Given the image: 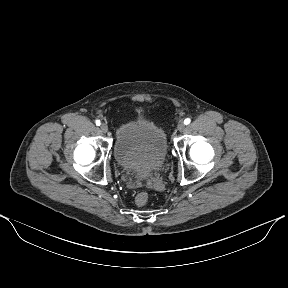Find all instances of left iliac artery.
Masks as SVG:
<instances>
[{"label":"left iliac artery","mask_w":288,"mask_h":288,"mask_svg":"<svg viewBox=\"0 0 288 288\" xmlns=\"http://www.w3.org/2000/svg\"><path fill=\"white\" fill-rule=\"evenodd\" d=\"M190 122H191V119H190V118H186V119L184 120V124H185V125L190 124Z\"/></svg>","instance_id":"obj_1"}]
</instances>
